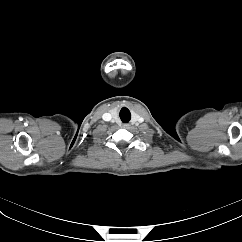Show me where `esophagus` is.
<instances>
[{"label":"esophagus","mask_w":242,"mask_h":242,"mask_svg":"<svg viewBox=\"0 0 242 242\" xmlns=\"http://www.w3.org/2000/svg\"><path fill=\"white\" fill-rule=\"evenodd\" d=\"M123 127H124V128H127V127H128V125H127V124H125V125H123Z\"/></svg>","instance_id":"obj_1"}]
</instances>
